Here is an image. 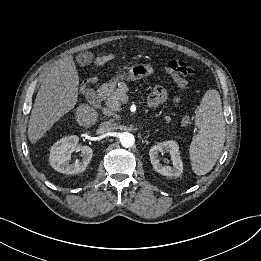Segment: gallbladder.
Masks as SVG:
<instances>
[{
    "label": "gallbladder",
    "mask_w": 261,
    "mask_h": 261,
    "mask_svg": "<svg viewBox=\"0 0 261 261\" xmlns=\"http://www.w3.org/2000/svg\"><path fill=\"white\" fill-rule=\"evenodd\" d=\"M84 56H86V57H84ZM91 59H92L91 54H82V53L79 54V55L77 56V58H76L77 62H78L81 66H85V65L89 64V63L91 62ZM92 95H93L92 92L89 91V92L86 94V98H87L88 100H90ZM95 102H96L95 99L91 101L92 104H95Z\"/></svg>",
    "instance_id": "gallbladder-1"
}]
</instances>
